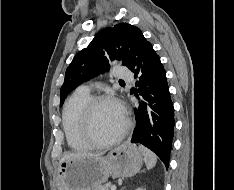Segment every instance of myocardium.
Returning a JSON list of instances; mask_svg holds the SVG:
<instances>
[{
	"label": "myocardium",
	"mask_w": 234,
	"mask_h": 190,
	"mask_svg": "<svg viewBox=\"0 0 234 190\" xmlns=\"http://www.w3.org/2000/svg\"><path fill=\"white\" fill-rule=\"evenodd\" d=\"M106 102L115 103L121 108L123 115H124L125 124L123 128L120 130V132L117 133L112 138L107 139V140H98L95 138V136L92 133V118H93L95 109L100 104L106 103ZM130 128H131V120L125 108L113 96H110V95L93 96L87 101V103L83 107L82 114H81V133L84 139L93 147H108V146H112L118 143L126 136Z\"/></svg>",
	"instance_id": "f54148a6"
}]
</instances>
